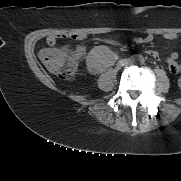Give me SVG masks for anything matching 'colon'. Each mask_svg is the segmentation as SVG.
Wrapping results in <instances>:
<instances>
[{"instance_id": "colon-1", "label": "colon", "mask_w": 181, "mask_h": 181, "mask_svg": "<svg viewBox=\"0 0 181 181\" xmlns=\"http://www.w3.org/2000/svg\"><path fill=\"white\" fill-rule=\"evenodd\" d=\"M40 60L43 65L62 80H71L77 72V56L59 49H44L40 52ZM181 89V76L178 80Z\"/></svg>"}]
</instances>
